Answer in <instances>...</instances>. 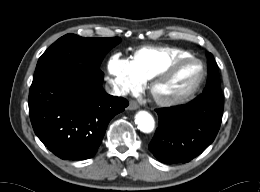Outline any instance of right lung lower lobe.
<instances>
[{
	"label": "right lung lower lobe",
	"mask_w": 260,
	"mask_h": 192,
	"mask_svg": "<svg viewBox=\"0 0 260 192\" xmlns=\"http://www.w3.org/2000/svg\"><path fill=\"white\" fill-rule=\"evenodd\" d=\"M103 72L87 64L61 63L33 78L29 113L35 134L61 159H89L109 121L128 106L102 88Z\"/></svg>",
	"instance_id": "98d812e1"
}]
</instances>
